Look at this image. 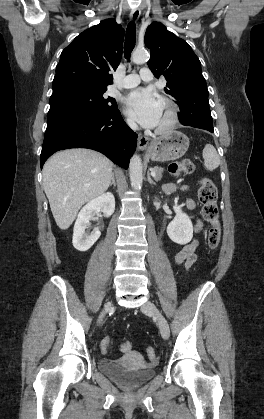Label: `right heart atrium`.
<instances>
[{"label":"right heart atrium","mask_w":264,"mask_h":419,"mask_svg":"<svg viewBox=\"0 0 264 419\" xmlns=\"http://www.w3.org/2000/svg\"><path fill=\"white\" fill-rule=\"evenodd\" d=\"M126 124L130 127V128H135L136 125L134 123V121L131 118H126Z\"/></svg>","instance_id":"right-heart-atrium-1"}]
</instances>
